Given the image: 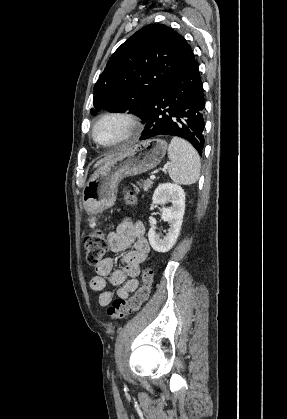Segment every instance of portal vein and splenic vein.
I'll return each mask as SVG.
<instances>
[{
  "mask_svg": "<svg viewBox=\"0 0 287 419\" xmlns=\"http://www.w3.org/2000/svg\"><path fill=\"white\" fill-rule=\"evenodd\" d=\"M150 179H151V180H154V179H155V175H154V174H152V175L150 176Z\"/></svg>",
  "mask_w": 287,
  "mask_h": 419,
  "instance_id": "obj_1",
  "label": "portal vein and splenic vein"
}]
</instances>
